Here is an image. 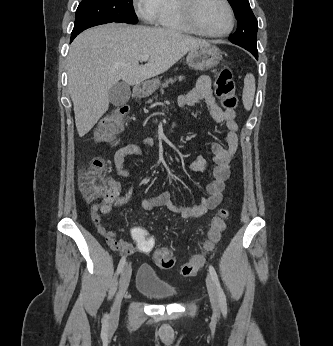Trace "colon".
<instances>
[{"instance_id": "1", "label": "colon", "mask_w": 333, "mask_h": 346, "mask_svg": "<svg viewBox=\"0 0 333 346\" xmlns=\"http://www.w3.org/2000/svg\"><path fill=\"white\" fill-rule=\"evenodd\" d=\"M215 93L223 101L227 110H234L237 106L236 86L233 73L229 68L220 70L216 82ZM129 108L125 105L117 107L109 112L98 124L95 132V140L100 143L110 142L119 134L126 124ZM106 162L102 159H94L79 174V187L83 197L88 202L100 203L110 194V179L106 178ZM229 213L226 209H221L212 219L207 239L204 245L209 251L220 240L226 227ZM144 226H130L131 238H135V245L138 254H151L157 247V240H152L151 235L144 232ZM154 263L162 269H170L174 266L175 258L172 251L168 248H158L153 253ZM202 254L193 256L185 263L181 272L184 276L195 275L204 264Z\"/></svg>"}]
</instances>
